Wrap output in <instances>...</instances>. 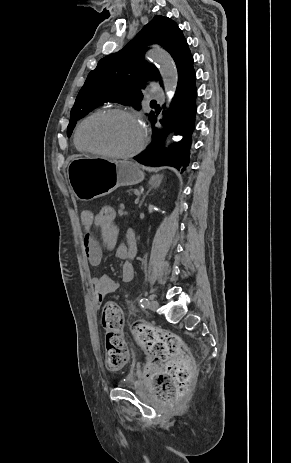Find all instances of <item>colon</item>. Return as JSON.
I'll return each instance as SVG.
<instances>
[{"label":"colon","instance_id":"colon-1","mask_svg":"<svg viewBox=\"0 0 291 463\" xmlns=\"http://www.w3.org/2000/svg\"><path fill=\"white\" fill-rule=\"evenodd\" d=\"M118 221V208L102 204L96 211L98 229L105 230ZM124 317L115 303H108L102 311V325L105 329V361L110 370H119L128 361V352L123 337ZM137 336L150 356L146 374L151 378L154 394L171 399L183 393L193 376L188 351L179 336L147 325L136 327Z\"/></svg>","mask_w":291,"mask_h":463}]
</instances>
